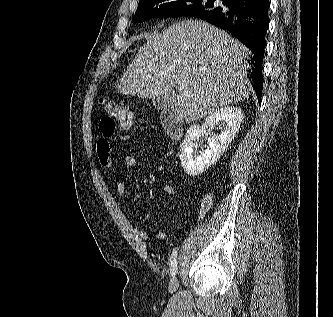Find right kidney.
Listing matches in <instances>:
<instances>
[{"label": "right kidney", "mask_w": 333, "mask_h": 317, "mask_svg": "<svg viewBox=\"0 0 333 317\" xmlns=\"http://www.w3.org/2000/svg\"><path fill=\"white\" fill-rule=\"evenodd\" d=\"M243 112L238 107H224L208 115L202 125H192L181 144L179 157L185 173L197 176L217 162L231 144L243 121ZM219 122H225L220 134H212L207 140L205 150L199 155L193 153V147L206 131L212 130Z\"/></svg>", "instance_id": "ca27d5eb"}]
</instances>
